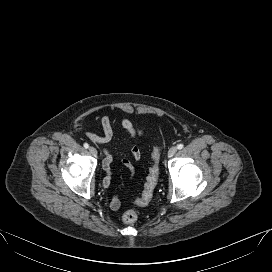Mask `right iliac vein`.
<instances>
[{"mask_svg": "<svg viewBox=\"0 0 272 272\" xmlns=\"http://www.w3.org/2000/svg\"><path fill=\"white\" fill-rule=\"evenodd\" d=\"M89 152L93 156H97V150L94 147H89Z\"/></svg>", "mask_w": 272, "mask_h": 272, "instance_id": "obj_1", "label": "right iliac vein"}]
</instances>
